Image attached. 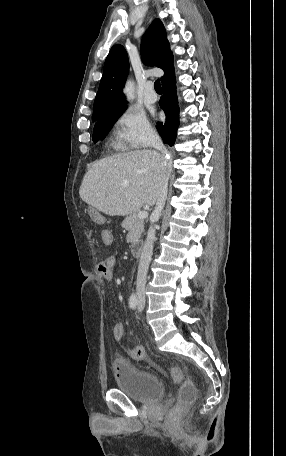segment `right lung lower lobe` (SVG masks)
I'll use <instances>...</instances> for the list:
<instances>
[{"label":"right lung lower lobe","mask_w":286,"mask_h":456,"mask_svg":"<svg viewBox=\"0 0 286 456\" xmlns=\"http://www.w3.org/2000/svg\"><path fill=\"white\" fill-rule=\"evenodd\" d=\"M164 95L159 101L160 107L166 114L165 123L158 122L157 128L163 142L172 146L176 139L179 125V106L176 93L175 77L162 84Z\"/></svg>","instance_id":"1"}]
</instances>
